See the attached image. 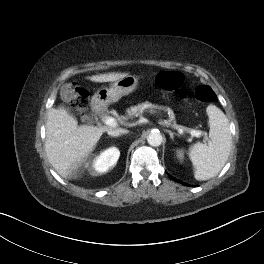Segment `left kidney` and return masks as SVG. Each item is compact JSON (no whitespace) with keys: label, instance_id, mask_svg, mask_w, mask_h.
<instances>
[{"label":"left kidney","instance_id":"obj_1","mask_svg":"<svg viewBox=\"0 0 264 264\" xmlns=\"http://www.w3.org/2000/svg\"><path fill=\"white\" fill-rule=\"evenodd\" d=\"M182 152L181 151H179V154H178V156H179V158L181 159L182 158Z\"/></svg>","mask_w":264,"mask_h":264}]
</instances>
